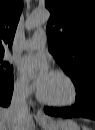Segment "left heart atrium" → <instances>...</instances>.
<instances>
[{"label": "left heart atrium", "instance_id": "obj_1", "mask_svg": "<svg viewBox=\"0 0 95 130\" xmlns=\"http://www.w3.org/2000/svg\"><path fill=\"white\" fill-rule=\"evenodd\" d=\"M20 71L25 77L33 79L38 88L51 74L46 58L38 55L25 56L20 62Z\"/></svg>", "mask_w": 95, "mask_h": 130}]
</instances>
